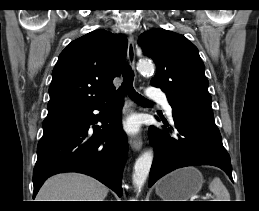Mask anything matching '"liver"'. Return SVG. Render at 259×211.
Masks as SVG:
<instances>
[{"instance_id":"6515ba94","label":"liver","mask_w":259,"mask_h":211,"mask_svg":"<svg viewBox=\"0 0 259 211\" xmlns=\"http://www.w3.org/2000/svg\"><path fill=\"white\" fill-rule=\"evenodd\" d=\"M108 188L96 179L78 173L58 174L41 187L36 201H104Z\"/></svg>"}]
</instances>
